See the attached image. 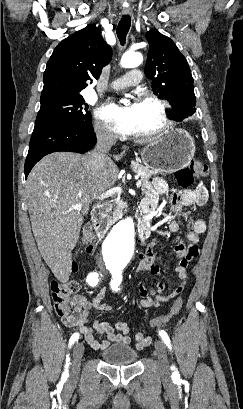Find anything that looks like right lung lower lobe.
Listing matches in <instances>:
<instances>
[{
  "instance_id": "right-lung-lower-lobe-1",
  "label": "right lung lower lobe",
  "mask_w": 243,
  "mask_h": 409,
  "mask_svg": "<svg viewBox=\"0 0 243 409\" xmlns=\"http://www.w3.org/2000/svg\"><path fill=\"white\" fill-rule=\"evenodd\" d=\"M96 143L92 125L69 127L54 122L37 121L30 140L25 162V177L32 167L45 155L57 151L84 153Z\"/></svg>"
}]
</instances>
